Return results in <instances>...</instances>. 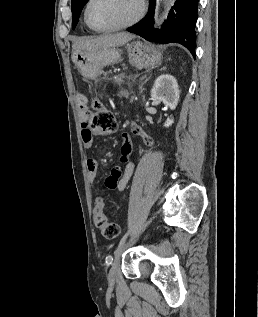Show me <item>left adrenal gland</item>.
<instances>
[{
    "label": "left adrenal gland",
    "mask_w": 258,
    "mask_h": 317,
    "mask_svg": "<svg viewBox=\"0 0 258 317\" xmlns=\"http://www.w3.org/2000/svg\"><path fill=\"white\" fill-rule=\"evenodd\" d=\"M143 78H145V80H143ZM148 78H150V76H148ZM148 78H146V76H142L141 80H143V82H141V84L139 86V88H141L140 92H142V90H143L142 86H143L144 82H147Z\"/></svg>",
    "instance_id": "1"
}]
</instances>
